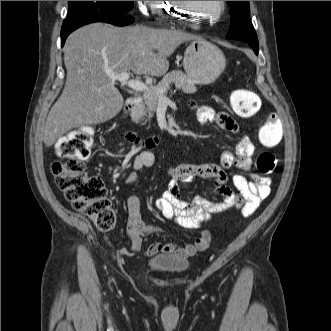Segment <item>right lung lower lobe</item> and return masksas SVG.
Listing matches in <instances>:
<instances>
[{
    "label": "right lung lower lobe",
    "instance_id": "1",
    "mask_svg": "<svg viewBox=\"0 0 331 331\" xmlns=\"http://www.w3.org/2000/svg\"><path fill=\"white\" fill-rule=\"evenodd\" d=\"M133 21H134V18L133 17H130V16H120V17L102 18V19H99V20H96V21H93V22H105V23H110V24L116 25V26H126V25L131 24ZM77 28H79V27H77ZM77 28H75V29H77ZM75 29H72V30H70V31H68L66 33H61V46L64 45L67 36L72 31H74Z\"/></svg>",
    "mask_w": 331,
    "mask_h": 331
}]
</instances>
